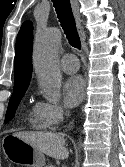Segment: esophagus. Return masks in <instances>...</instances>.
<instances>
[{
	"mask_svg": "<svg viewBox=\"0 0 125 167\" xmlns=\"http://www.w3.org/2000/svg\"><path fill=\"white\" fill-rule=\"evenodd\" d=\"M72 12L75 18L77 31L82 42L83 49L86 50V35L82 27L81 15L79 12V3L77 0H70Z\"/></svg>",
	"mask_w": 125,
	"mask_h": 167,
	"instance_id": "obj_1",
	"label": "esophagus"
}]
</instances>
